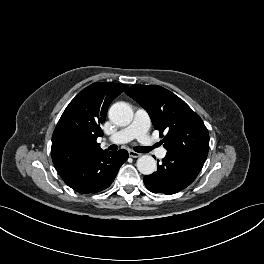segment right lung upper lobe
<instances>
[{
    "mask_svg": "<svg viewBox=\"0 0 264 264\" xmlns=\"http://www.w3.org/2000/svg\"><path fill=\"white\" fill-rule=\"evenodd\" d=\"M127 85L96 82L79 92L65 109L52 136V160L63 172L101 153L96 142L107 109Z\"/></svg>",
    "mask_w": 264,
    "mask_h": 264,
    "instance_id": "right-lung-upper-lobe-1",
    "label": "right lung upper lobe"
}]
</instances>
